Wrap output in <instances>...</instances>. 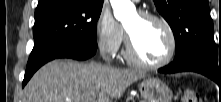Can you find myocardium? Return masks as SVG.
Listing matches in <instances>:
<instances>
[{"label": "myocardium", "mask_w": 221, "mask_h": 102, "mask_svg": "<svg viewBox=\"0 0 221 102\" xmlns=\"http://www.w3.org/2000/svg\"><path fill=\"white\" fill-rule=\"evenodd\" d=\"M138 15L144 20H152L158 22L167 32L170 46L167 55L161 61L155 63L146 62L136 52L131 36L126 30V54L128 58L134 64L145 69H159L168 65L174 58L177 50V38L172 26L165 18L152 12L140 11Z\"/></svg>", "instance_id": "f54148a6"}]
</instances>
